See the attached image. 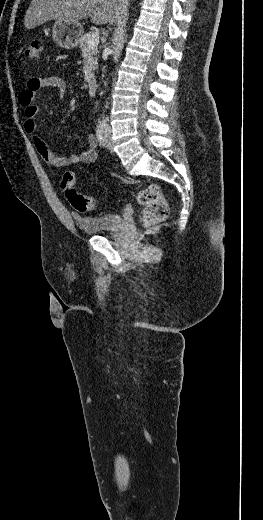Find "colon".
Returning <instances> with one entry per match:
<instances>
[{
    "label": "colon",
    "instance_id": "obj_1",
    "mask_svg": "<svg viewBox=\"0 0 263 520\" xmlns=\"http://www.w3.org/2000/svg\"><path fill=\"white\" fill-rule=\"evenodd\" d=\"M42 42L33 40L25 49V55L30 60L37 62L41 58ZM61 187L65 190L70 205L81 213L94 210L98 201L90 196L83 195L76 188V177L73 172L63 174ZM137 201L143 206L142 220L145 225L161 222L168 215V205L161 194L158 185L149 183L144 185L136 194Z\"/></svg>",
    "mask_w": 263,
    "mask_h": 520
}]
</instances>
